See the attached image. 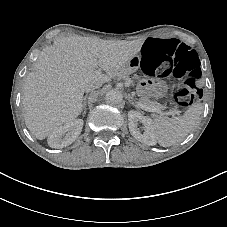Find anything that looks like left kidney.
<instances>
[{
	"label": "left kidney",
	"mask_w": 227,
	"mask_h": 227,
	"mask_svg": "<svg viewBox=\"0 0 227 227\" xmlns=\"http://www.w3.org/2000/svg\"><path fill=\"white\" fill-rule=\"evenodd\" d=\"M128 121L129 131L135 139L149 146L156 144V139L153 133L154 126L151 118L143 116L138 111L131 110L128 112ZM138 122H141L144 125L143 134H141L138 128Z\"/></svg>",
	"instance_id": "left-kidney-1"
}]
</instances>
